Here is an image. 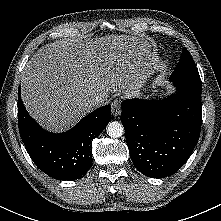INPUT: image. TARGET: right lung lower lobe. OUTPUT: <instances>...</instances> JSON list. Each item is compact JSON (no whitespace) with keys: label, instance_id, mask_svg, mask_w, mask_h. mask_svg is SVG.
<instances>
[{"label":"right lung lower lobe","instance_id":"1","mask_svg":"<svg viewBox=\"0 0 221 221\" xmlns=\"http://www.w3.org/2000/svg\"><path fill=\"white\" fill-rule=\"evenodd\" d=\"M111 107L105 105L85 116L64 133H50L28 114L18 89V127L21 139L34 163L58 180L84 177L92 166L91 142L109 123Z\"/></svg>","mask_w":221,"mask_h":221}]
</instances>
